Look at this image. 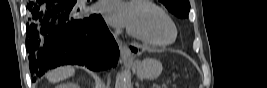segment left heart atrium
<instances>
[{
  "label": "left heart atrium",
  "mask_w": 267,
  "mask_h": 88,
  "mask_svg": "<svg viewBox=\"0 0 267 88\" xmlns=\"http://www.w3.org/2000/svg\"><path fill=\"white\" fill-rule=\"evenodd\" d=\"M100 12L108 23L116 27L129 26L131 4L125 1L106 0L100 3Z\"/></svg>",
  "instance_id": "1"
}]
</instances>
